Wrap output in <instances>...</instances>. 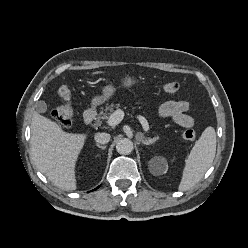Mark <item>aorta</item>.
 <instances>
[{
	"label": "aorta",
	"mask_w": 248,
	"mask_h": 248,
	"mask_svg": "<svg viewBox=\"0 0 248 248\" xmlns=\"http://www.w3.org/2000/svg\"><path fill=\"white\" fill-rule=\"evenodd\" d=\"M116 150L119 154L128 155L133 151V142L128 138L120 139L116 144Z\"/></svg>",
	"instance_id": "762f6f07"
}]
</instances>
